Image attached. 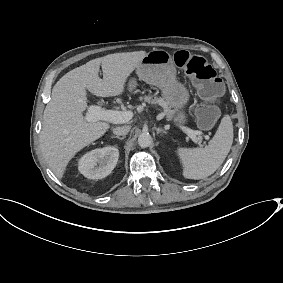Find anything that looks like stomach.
<instances>
[{
    "label": "stomach",
    "instance_id": "1",
    "mask_svg": "<svg viewBox=\"0 0 283 283\" xmlns=\"http://www.w3.org/2000/svg\"><path fill=\"white\" fill-rule=\"evenodd\" d=\"M137 74L140 80L160 90L162 100L173 109L170 111V119L176 126L183 128L189 119L186 107L190 92L177 77L172 55L163 49L150 51L137 67ZM134 85L132 81L130 86Z\"/></svg>",
    "mask_w": 283,
    "mask_h": 283
}]
</instances>
